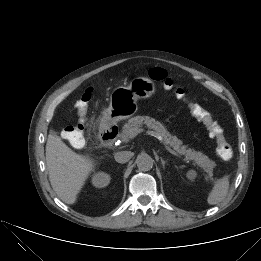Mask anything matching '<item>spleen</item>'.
<instances>
[{"instance_id": "spleen-1", "label": "spleen", "mask_w": 261, "mask_h": 261, "mask_svg": "<svg viewBox=\"0 0 261 261\" xmlns=\"http://www.w3.org/2000/svg\"><path fill=\"white\" fill-rule=\"evenodd\" d=\"M228 191H229V176L225 175L215 182L207 198L208 204L209 205L219 204L226 198Z\"/></svg>"}]
</instances>
